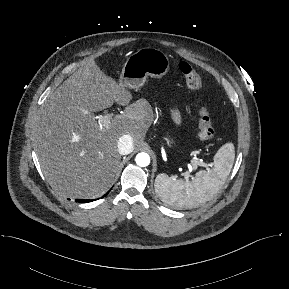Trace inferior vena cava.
<instances>
[{"instance_id":"obj_1","label":"inferior vena cava","mask_w":289,"mask_h":289,"mask_svg":"<svg viewBox=\"0 0 289 289\" xmlns=\"http://www.w3.org/2000/svg\"><path fill=\"white\" fill-rule=\"evenodd\" d=\"M118 151L121 155L130 154L133 151V138L128 135H122L118 140Z\"/></svg>"}]
</instances>
